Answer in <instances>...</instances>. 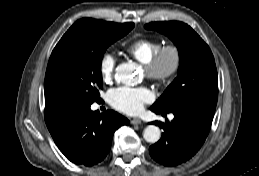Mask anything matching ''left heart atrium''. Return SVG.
Wrapping results in <instances>:
<instances>
[{"label":"left heart atrium","instance_id":"obj_1","mask_svg":"<svg viewBox=\"0 0 259 176\" xmlns=\"http://www.w3.org/2000/svg\"><path fill=\"white\" fill-rule=\"evenodd\" d=\"M110 105L125 114L140 113L144 105L153 100V93L147 87H117L108 95Z\"/></svg>","mask_w":259,"mask_h":176}]
</instances>
